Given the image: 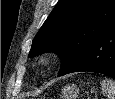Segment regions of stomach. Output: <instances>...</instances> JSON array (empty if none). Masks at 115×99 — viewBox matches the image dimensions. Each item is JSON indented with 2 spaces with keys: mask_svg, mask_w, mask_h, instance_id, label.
Segmentation results:
<instances>
[{
  "mask_svg": "<svg viewBox=\"0 0 115 99\" xmlns=\"http://www.w3.org/2000/svg\"><path fill=\"white\" fill-rule=\"evenodd\" d=\"M63 99H76L79 94V89L75 84H69L62 89Z\"/></svg>",
  "mask_w": 115,
  "mask_h": 99,
  "instance_id": "obj_1",
  "label": "stomach"
}]
</instances>
